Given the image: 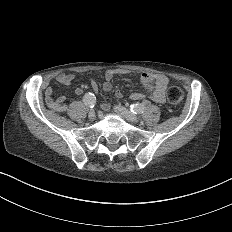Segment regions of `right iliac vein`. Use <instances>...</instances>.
<instances>
[{
  "label": "right iliac vein",
  "mask_w": 232,
  "mask_h": 232,
  "mask_svg": "<svg viewBox=\"0 0 232 232\" xmlns=\"http://www.w3.org/2000/svg\"><path fill=\"white\" fill-rule=\"evenodd\" d=\"M96 116V111L95 110H90L89 112H88V117L89 118H94Z\"/></svg>",
  "instance_id": "63e3f726"
}]
</instances>
